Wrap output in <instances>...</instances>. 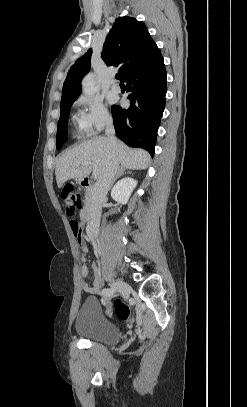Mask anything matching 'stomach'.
Instances as JSON below:
<instances>
[{"label": "stomach", "mask_w": 247, "mask_h": 407, "mask_svg": "<svg viewBox=\"0 0 247 407\" xmlns=\"http://www.w3.org/2000/svg\"><path fill=\"white\" fill-rule=\"evenodd\" d=\"M81 179H76V183H80Z\"/></svg>", "instance_id": "1"}]
</instances>
